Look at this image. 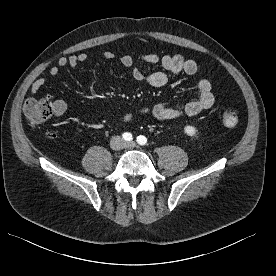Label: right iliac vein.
Here are the masks:
<instances>
[{"label":"right iliac vein","mask_w":276,"mask_h":276,"mask_svg":"<svg viewBox=\"0 0 276 276\" xmlns=\"http://www.w3.org/2000/svg\"><path fill=\"white\" fill-rule=\"evenodd\" d=\"M122 146H123V142H122V139L120 137H115L111 141V147L114 150H119Z\"/></svg>","instance_id":"63e3f726"}]
</instances>
